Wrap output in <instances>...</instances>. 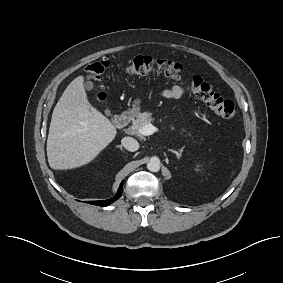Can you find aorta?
I'll list each match as a JSON object with an SVG mask.
<instances>
[{
  "label": "aorta",
  "mask_w": 283,
  "mask_h": 283,
  "mask_svg": "<svg viewBox=\"0 0 283 283\" xmlns=\"http://www.w3.org/2000/svg\"><path fill=\"white\" fill-rule=\"evenodd\" d=\"M147 168L151 172H158L160 170V160L158 157H152L147 163Z\"/></svg>",
  "instance_id": "aorta-1"
}]
</instances>
